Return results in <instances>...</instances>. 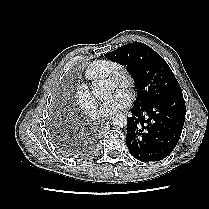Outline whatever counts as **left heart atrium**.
I'll return each mask as SVG.
<instances>
[{"mask_svg":"<svg viewBox=\"0 0 209 209\" xmlns=\"http://www.w3.org/2000/svg\"><path fill=\"white\" fill-rule=\"evenodd\" d=\"M130 102V97L123 91H117L108 101L100 108L99 115L103 117L110 116L117 111L125 108Z\"/></svg>","mask_w":209,"mask_h":209,"instance_id":"obj_1","label":"left heart atrium"}]
</instances>
